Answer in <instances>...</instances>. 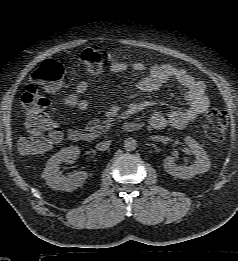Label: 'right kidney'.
<instances>
[{"instance_id":"obj_1","label":"right kidney","mask_w":238,"mask_h":261,"mask_svg":"<svg viewBox=\"0 0 238 261\" xmlns=\"http://www.w3.org/2000/svg\"><path fill=\"white\" fill-rule=\"evenodd\" d=\"M80 154L78 146H70L62 149L54 154L47 162L42 173V177L46 180V184L55 189L62 191H73L81 186L88 177L87 172L77 171L74 174L62 175L60 164L70 159H77Z\"/></svg>"}]
</instances>
